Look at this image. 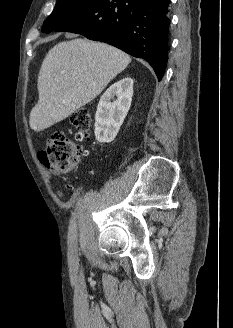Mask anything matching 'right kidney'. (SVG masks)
<instances>
[{"label": "right kidney", "mask_w": 233, "mask_h": 328, "mask_svg": "<svg viewBox=\"0 0 233 328\" xmlns=\"http://www.w3.org/2000/svg\"><path fill=\"white\" fill-rule=\"evenodd\" d=\"M117 99L113 102L114 97ZM133 80L125 77L111 85L101 96L95 115V137L109 143L116 137L131 106Z\"/></svg>", "instance_id": "obj_1"}]
</instances>
